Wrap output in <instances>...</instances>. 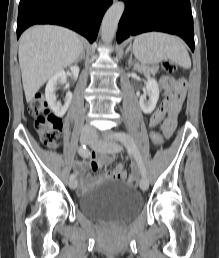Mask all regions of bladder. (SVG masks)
<instances>
[{
  "label": "bladder",
  "instance_id": "bladder-1",
  "mask_svg": "<svg viewBox=\"0 0 219 258\" xmlns=\"http://www.w3.org/2000/svg\"><path fill=\"white\" fill-rule=\"evenodd\" d=\"M80 211L90 217L125 222L143 208V199L135 189L117 180H106L78 198Z\"/></svg>",
  "mask_w": 219,
  "mask_h": 258
}]
</instances>
